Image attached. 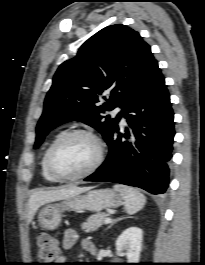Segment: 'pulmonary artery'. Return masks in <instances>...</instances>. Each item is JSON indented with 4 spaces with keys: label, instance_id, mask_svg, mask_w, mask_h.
<instances>
[{
    "label": "pulmonary artery",
    "instance_id": "1",
    "mask_svg": "<svg viewBox=\"0 0 205 265\" xmlns=\"http://www.w3.org/2000/svg\"><path fill=\"white\" fill-rule=\"evenodd\" d=\"M114 113L115 114H121L122 113V109L120 107H116L114 109ZM121 124L122 125H125L126 124V120H125L124 116L121 117Z\"/></svg>",
    "mask_w": 205,
    "mask_h": 265
}]
</instances>
